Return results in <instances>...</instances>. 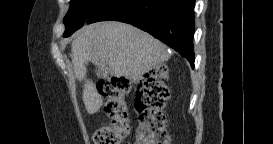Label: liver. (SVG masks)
I'll return each mask as SVG.
<instances>
[{
	"mask_svg": "<svg viewBox=\"0 0 273 144\" xmlns=\"http://www.w3.org/2000/svg\"><path fill=\"white\" fill-rule=\"evenodd\" d=\"M71 47L74 73L78 81L85 82L82 98L91 115L99 111L103 97L86 78L89 61L116 77L138 80L169 59L166 47L160 41L132 25L117 21L84 26Z\"/></svg>",
	"mask_w": 273,
	"mask_h": 144,
	"instance_id": "liver-1",
	"label": "liver"
}]
</instances>
